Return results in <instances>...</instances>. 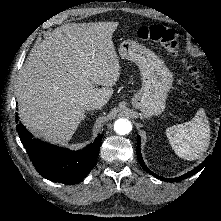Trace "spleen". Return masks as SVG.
<instances>
[{
	"mask_svg": "<svg viewBox=\"0 0 221 221\" xmlns=\"http://www.w3.org/2000/svg\"><path fill=\"white\" fill-rule=\"evenodd\" d=\"M166 135L175 153L186 160L203 156L210 142V127L203 109L193 119L166 129Z\"/></svg>",
	"mask_w": 221,
	"mask_h": 221,
	"instance_id": "spleen-1",
	"label": "spleen"
}]
</instances>
